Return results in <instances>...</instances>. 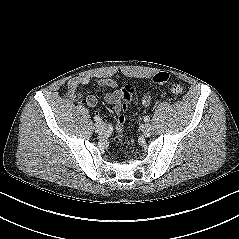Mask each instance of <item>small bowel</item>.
<instances>
[{"label": "small bowel", "mask_w": 239, "mask_h": 239, "mask_svg": "<svg viewBox=\"0 0 239 239\" xmlns=\"http://www.w3.org/2000/svg\"><path fill=\"white\" fill-rule=\"evenodd\" d=\"M90 79L86 76L75 77L69 82V87L71 91V95L74 97L76 94V90L80 86L87 85ZM98 85L101 89L104 90V100L110 104L116 113H119L122 109V94L118 88V82L114 79H101L98 81ZM107 89H113V91H107ZM151 98L146 96L143 99L144 104H149ZM86 103L89 107H95L98 103V99L95 95H89L86 98Z\"/></svg>", "instance_id": "1"}]
</instances>
